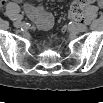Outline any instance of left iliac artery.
Instances as JSON below:
<instances>
[{"label": "left iliac artery", "mask_w": 103, "mask_h": 103, "mask_svg": "<svg viewBox=\"0 0 103 103\" xmlns=\"http://www.w3.org/2000/svg\"><path fill=\"white\" fill-rule=\"evenodd\" d=\"M84 23H85L86 25H89V24L91 23V20H90L89 18H87V19H85Z\"/></svg>", "instance_id": "left-iliac-artery-1"}]
</instances>
